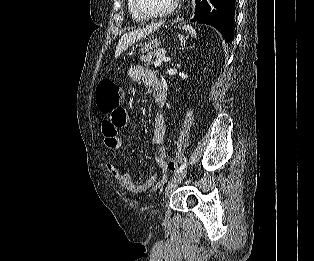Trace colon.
<instances>
[{
  "label": "colon",
  "mask_w": 314,
  "mask_h": 261,
  "mask_svg": "<svg viewBox=\"0 0 314 261\" xmlns=\"http://www.w3.org/2000/svg\"><path fill=\"white\" fill-rule=\"evenodd\" d=\"M97 107L100 113L108 115L112 109H119L123 93L121 88L112 80L104 79L99 82L96 88ZM177 163L170 159L166 162V169L174 171Z\"/></svg>",
  "instance_id": "obj_1"
}]
</instances>
